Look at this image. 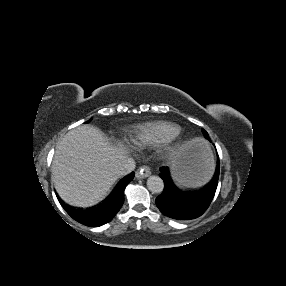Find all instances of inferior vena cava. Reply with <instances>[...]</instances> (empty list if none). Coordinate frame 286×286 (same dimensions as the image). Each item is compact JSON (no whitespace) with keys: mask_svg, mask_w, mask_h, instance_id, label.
Returning a JSON list of instances; mask_svg holds the SVG:
<instances>
[{"mask_svg":"<svg viewBox=\"0 0 286 286\" xmlns=\"http://www.w3.org/2000/svg\"><path fill=\"white\" fill-rule=\"evenodd\" d=\"M135 169V161L132 158H122L115 165V174L125 176Z\"/></svg>","mask_w":286,"mask_h":286,"instance_id":"602c4592","label":"inferior vena cava"}]
</instances>
